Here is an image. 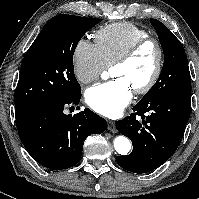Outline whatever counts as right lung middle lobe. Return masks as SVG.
<instances>
[{
	"mask_svg": "<svg viewBox=\"0 0 199 199\" xmlns=\"http://www.w3.org/2000/svg\"><path fill=\"white\" fill-rule=\"evenodd\" d=\"M101 19L60 14L50 19L28 49L15 91L16 120L81 95L73 55L83 35Z\"/></svg>",
	"mask_w": 199,
	"mask_h": 199,
	"instance_id": "obj_1",
	"label": "right lung middle lobe"
}]
</instances>
